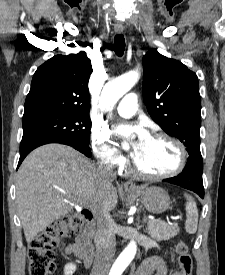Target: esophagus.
Returning <instances> with one entry per match:
<instances>
[{
  "mask_svg": "<svg viewBox=\"0 0 225 275\" xmlns=\"http://www.w3.org/2000/svg\"><path fill=\"white\" fill-rule=\"evenodd\" d=\"M114 30H115L116 33L120 34V33L123 32V26L122 25H115ZM124 187H125V189H135L136 184L133 181H126L124 183Z\"/></svg>",
  "mask_w": 225,
  "mask_h": 275,
  "instance_id": "1",
  "label": "esophagus"
}]
</instances>
